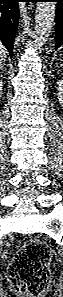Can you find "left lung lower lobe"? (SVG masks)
Wrapping results in <instances>:
<instances>
[{"label": "left lung lower lobe", "mask_w": 63, "mask_h": 297, "mask_svg": "<svg viewBox=\"0 0 63 297\" xmlns=\"http://www.w3.org/2000/svg\"><path fill=\"white\" fill-rule=\"evenodd\" d=\"M57 2L56 6V44L55 49L63 45V0H50Z\"/></svg>", "instance_id": "1"}]
</instances>
